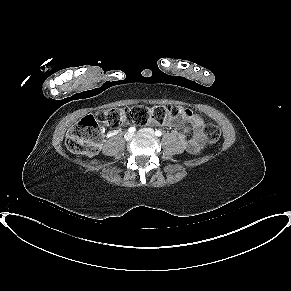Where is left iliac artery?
Wrapping results in <instances>:
<instances>
[{
	"label": "left iliac artery",
	"instance_id": "44dca946",
	"mask_svg": "<svg viewBox=\"0 0 291 291\" xmlns=\"http://www.w3.org/2000/svg\"><path fill=\"white\" fill-rule=\"evenodd\" d=\"M155 135L159 137V136L162 135V132H161L160 130H156V131H155Z\"/></svg>",
	"mask_w": 291,
	"mask_h": 291
}]
</instances>
